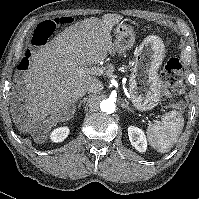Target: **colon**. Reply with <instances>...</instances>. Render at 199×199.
Returning a JSON list of instances; mask_svg holds the SVG:
<instances>
[{
  "label": "colon",
  "instance_id": "obj_1",
  "mask_svg": "<svg viewBox=\"0 0 199 199\" xmlns=\"http://www.w3.org/2000/svg\"><path fill=\"white\" fill-rule=\"evenodd\" d=\"M60 22L61 20L57 18L42 22L33 35L32 43L44 45ZM30 55L31 53L28 52L27 57H30ZM181 71L182 63L178 58L172 57L165 63L161 74L165 85V92L161 97L163 107L179 106L185 103V98L182 95L183 86L179 78Z\"/></svg>",
  "mask_w": 199,
  "mask_h": 199
}]
</instances>
